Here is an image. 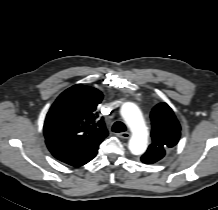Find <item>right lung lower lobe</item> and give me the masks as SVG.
<instances>
[{"label":"right lung lower lobe","instance_id":"right-lung-lower-lobe-1","mask_svg":"<svg viewBox=\"0 0 218 210\" xmlns=\"http://www.w3.org/2000/svg\"><path fill=\"white\" fill-rule=\"evenodd\" d=\"M46 144L56 159L74 167L82 166L92 160L99 146L80 147L57 140H46Z\"/></svg>","mask_w":218,"mask_h":210}]
</instances>
